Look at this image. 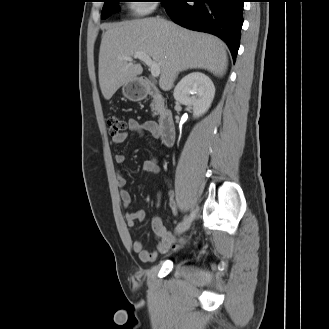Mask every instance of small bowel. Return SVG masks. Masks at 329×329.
<instances>
[{"instance_id": "1", "label": "small bowel", "mask_w": 329, "mask_h": 329, "mask_svg": "<svg viewBox=\"0 0 329 329\" xmlns=\"http://www.w3.org/2000/svg\"><path fill=\"white\" fill-rule=\"evenodd\" d=\"M127 127L129 131L132 132H148L151 136L157 138L160 135L159 126L154 121H139L135 118H130L127 122ZM128 138V132L124 131L119 135L112 136V141L116 145H122L126 142ZM125 155L117 154L115 155V162L119 165L125 163ZM143 170L151 173H158L160 171L158 162L156 159L146 160L143 164ZM117 185L120 188V199L124 207H128L132 202L131 193L124 187L126 185V178L122 173H118L116 177ZM171 194V193H170ZM161 192L157 194V204L161 199ZM173 214L177 213L176 204L173 200L169 203ZM146 213L144 210H137L134 212H128L125 215L126 223L129 227H134L137 222L144 221ZM152 230L155 234L157 246L154 251H149L144 248L142 241L136 240L133 242L132 248L135 253L138 254L139 258L143 262H151L156 259L160 254H166L171 250H177L183 246L186 242V238L180 237L175 238L170 231L164 226L161 218L154 217L151 222Z\"/></svg>"}]
</instances>
